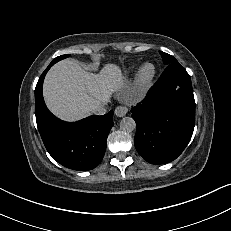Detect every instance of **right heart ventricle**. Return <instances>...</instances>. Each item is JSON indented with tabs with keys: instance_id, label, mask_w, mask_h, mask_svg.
Segmentation results:
<instances>
[{
	"instance_id": "obj_1",
	"label": "right heart ventricle",
	"mask_w": 231,
	"mask_h": 231,
	"mask_svg": "<svg viewBox=\"0 0 231 231\" xmlns=\"http://www.w3.org/2000/svg\"><path fill=\"white\" fill-rule=\"evenodd\" d=\"M135 72V67H131L128 71H127V74L128 75H131Z\"/></svg>"
}]
</instances>
